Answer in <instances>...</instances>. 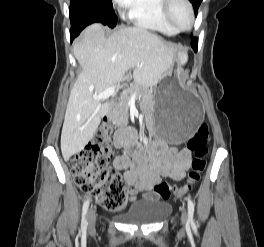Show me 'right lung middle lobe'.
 Listing matches in <instances>:
<instances>
[{
    "instance_id": "1",
    "label": "right lung middle lobe",
    "mask_w": 264,
    "mask_h": 247,
    "mask_svg": "<svg viewBox=\"0 0 264 247\" xmlns=\"http://www.w3.org/2000/svg\"><path fill=\"white\" fill-rule=\"evenodd\" d=\"M69 16L71 22L84 20L85 26L101 22L103 25L115 27L117 17L113 10L112 0H70Z\"/></svg>"
}]
</instances>
